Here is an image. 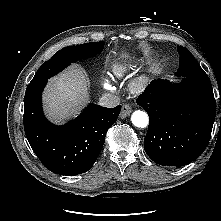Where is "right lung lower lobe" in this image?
Returning <instances> with one entry per match:
<instances>
[{"mask_svg":"<svg viewBox=\"0 0 221 221\" xmlns=\"http://www.w3.org/2000/svg\"><path fill=\"white\" fill-rule=\"evenodd\" d=\"M46 83L47 80L31 83L26 89L23 118L26 137L50 171L67 176L84 173L95 163L121 106L105 108L90 104L73 121L56 126L42 110L41 95Z\"/></svg>","mask_w":221,"mask_h":221,"instance_id":"right-lung-lower-lobe-1","label":"right lung lower lobe"}]
</instances>
